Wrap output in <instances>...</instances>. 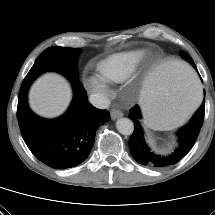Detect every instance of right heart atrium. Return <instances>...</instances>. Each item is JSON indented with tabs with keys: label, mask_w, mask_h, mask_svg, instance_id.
<instances>
[{
	"label": "right heart atrium",
	"mask_w": 215,
	"mask_h": 215,
	"mask_svg": "<svg viewBox=\"0 0 215 215\" xmlns=\"http://www.w3.org/2000/svg\"><path fill=\"white\" fill-rule=\"evenodd\" d=\"M86 86L100 99L106 98L109 93V87L106 80L100 75L92 74L85 79Z\"/></svg>",
	"instance_id": "right-heart-atrium-1"
}]
</instances>
